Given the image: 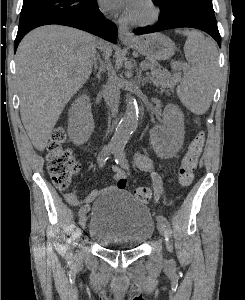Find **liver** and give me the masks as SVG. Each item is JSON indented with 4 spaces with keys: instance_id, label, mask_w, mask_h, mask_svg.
<instances>
[{
    "instance_id": "liver-1",
    "label": "liver",
    "mask_w": 245,
    "mask_h": 300,
    "mask_svg": "<svg viewBox=\"0 0 245 300\" xmlns=\"http://www.w3.org/2000/svg\"><path fill=\"white\" fill-rule=\"evenodd\" d=\"M98 47L105 59L112 47L93 35L60 25L28 33L16 52L20 114L32 144L43 151L63 109L89 78Z\"/></svg>"
}]
</instances>
